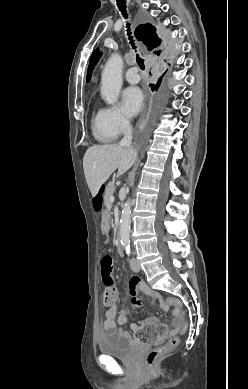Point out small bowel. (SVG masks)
<instances>
[{"mask_svg":"<svg viewBox=\"0 0 248 389\" xmlns=\"http://www.w3.org/2000/svg\"><path fill=\"white\" fill-rule=\"evenodd\" d=\"M144 277L143 273L139 274V277H132L131 283L129 284V293L131 295V302L132 305L135 308H140L142 306V298L143 295L148 296L152 301L154 300H160L162 308L164 311H167V307L163 304L161 295L153 290L142 278ZM112 290L117 294L118 297V290L115 286L107 287L104 292ZM116 302V301H115ZM115 302L112 304L107 305V309L105 312V321L103 325V331L104 336L110 335L113 333L121 334L127 338H130L129 333L123 329L118 328V325L122 326L124 325L128 320L129 317L127 315L126 311H121L119 314L117 313V308L115 306ZM176 330H173L172 333H174ZM160 340V339H159ZM159 340H152L151 343L158 342Z\"/></svg>","mask_w":248,"mask_h":389,"instance_id":"obj_1","label":"small bowel"}]
</instances>
